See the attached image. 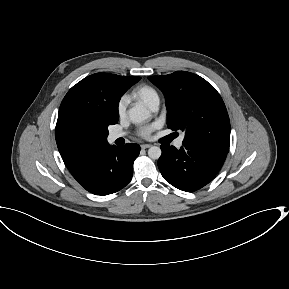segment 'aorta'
<instances>
[{
	"instance_id": "obj_1",
	"label": "aorta",
	"mask_w": 289,
	"mask_h": 289,
	"mask_svg": "<svg viewBox=\"0 0 289 289\" xmlns=\"http://www.w3.org/2000/svg\"><path fill=\"white\" fill-rule=\"evenodd\" d=\"M150 117L149 110L143 105H136L129 110V119L132 123L138 124L144 122ZM148 156L151 159H159L161 156V149L157 146H152L148 150Z\"/></svg>"
}]
</instances>
